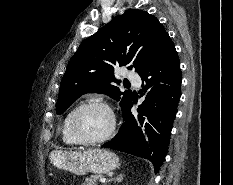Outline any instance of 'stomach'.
Listing matches in <instances>:
<instances>
[{"instance_id": "obj_1", "label": "stomach", "mask_w": 233, "mask_h": 185, "mask_svg": "<svg viewBox=\"0 0 233 185\" xmlns=\"http://www.w3.org/2000/svg\"><path fill=\"white\" fill-rule=\"evenodd\" d=\"M51 163L58 169L66 170L76 175L87 172L103 174L119 166V158L105 149L88 151H53L50 154Z\"/></svg>"}]
</instances>
